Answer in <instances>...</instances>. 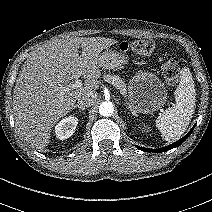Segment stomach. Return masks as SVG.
Masks as SVG:
<instances>
[{
	"label": "stomach",
	"instance_id": "1",
	"mask_svg": "<svg viewBox=\"0 0 212 212\" xmlns=\"http://www.w3.org/2000/svg\"><path fill=\"white\" fill-rule=\"evenodd\" d=\"M128 56L107 49L99 56L102 69H121ZM168 93L164 83L152 72L140 70L128 84L129 108L133 113H151L164 106Z\"/></svg>",
	"mask_w": 212,
	"mask_h": 212
}]
</instances>
